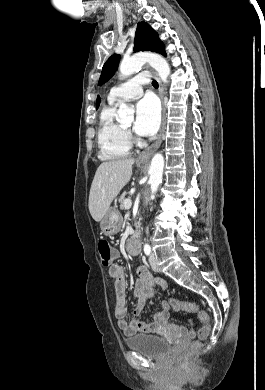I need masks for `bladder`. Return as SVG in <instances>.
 Returning a JSON list of instances; mask_svg holds the SVG:
<instances>
[{"mask_svg": "<svg viewBox=\"0 0 265 390\" xmlns=\"http://www.w3.org/2000/svg\"><path fill=\"white\" fill-rule=\"evenodd\" d=\"M126 345L129 349L153 359H160L171 350V346L163 338L147 334H139L128 338Z\"/></svg>", "mask_w": 265, "mask_h": 390, "instance_id": "obj_1", "label": "bladder"}]
</instances>
